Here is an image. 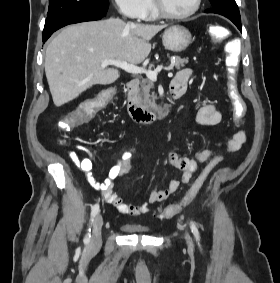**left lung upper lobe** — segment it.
I'll return each instance as SVG.
<instances>
[{
  "instance_id": "1",
  "label": "left lung upper lobe",
  "mask_w": 280,
  "mask_h": 283,
  "mask_svg": "<svg viewBox=\"0 0 280 283\" xmlns=\"http://www.w3.org/2000/svg\"><path fill=\"white\" fill-rule=\"evenodd\" d=\"M213 9L205 10L206 13H217L226 16L230 20L241 22L240 12L235 0H209Z\"/></svg>"
}]
</instances>
